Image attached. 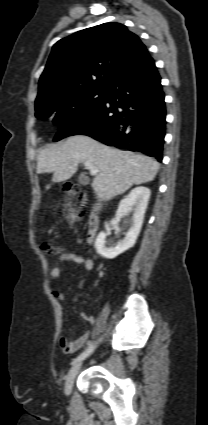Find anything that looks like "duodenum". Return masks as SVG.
<instances>
[{"instance_id": "obj_1", "label": "duodenum", "mask_w": 208, "mask_h": 425, "mask_svg": "<svg viewBox=\"0 0 208 425\" xmlns=\"http://www.w3.org/2000/svg\"><path fill=\"white\" fill-rule=\"evenodd\" d=\"M99 227V219L97 212L93 209L91 210L88 217L87 231H86V241L91 243L96 235V232Z\"/></svg>"}]
</instances>
